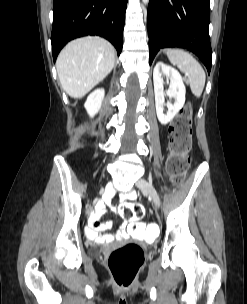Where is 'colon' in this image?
<instances>
[{
    "label": "colon",
    "instance_id": "1",
    "mask_svg": "<svg viewBox=\"0 0 247 304\" xmlns=\"http://www.w3.org/2000/svg\"><path fill=\"white\" fill-rule=\"evenodd\" d=\"M192 110L190 106L183 108L170 126L169 155L166 170L174 184H180L190 165ZM120 215L132 221L129 234L132 239L159 238L158 224L138 222L144 217V203H123L119 207ZM144 246H153V239H144ZM145 252L136 242H129L114 249L108 257V267L115 283L122 288L129 287L134 281L140 267L144 263Z\"/></svg>",
    "mask_w": 247,
    "mask_h": 304
}]
</instances>
